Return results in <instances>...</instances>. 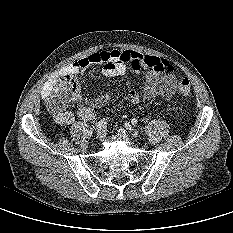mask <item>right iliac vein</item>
Returning <instances> with one entry per match:
<instances>
[{"instance_id": "obj_1", "label": "right iliac vein", "mask_w": 233, "mask_h": 233, "mask_svg": "<svg viewBox=\"0 0 233 233\" xmlns=\"http://www.w3.org/2000/svg\"><path fill=\"white\" fill-rule=\"evenodd\" d=\"M105 137V132L104 130H98L97 133H96V138L99 140V141H102Z\"/></svg>"}]
</instances>
